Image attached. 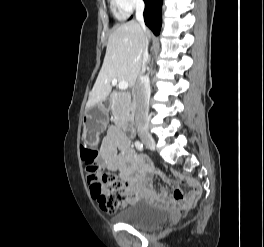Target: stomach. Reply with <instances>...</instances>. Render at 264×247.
Listing matches in <instances>:
<instances>
[{"label": "stomach", "instance_id": "stomach-1", "mask_svg": "<svg viewBox=\"0 0 264 247\" xmlns=\"http://www.w3.org/2000/svg\"><path fill=\"white\" fill-rule=\"evenodd\" d=\"M108 110L102 104H97L90 108L83 118V140L96 144L98 141V133L107 124Z\"/></svg>", "mask_w": 264, "mask_h": 247}]
</instances>
